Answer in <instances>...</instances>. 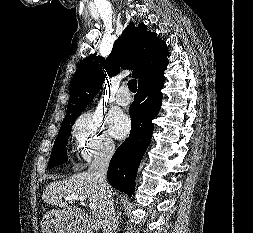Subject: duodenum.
Instances as JSON below:
<instances>
[{"instance_id":"duodenum-1","label":"duodenum","mask_w":253,"mask_h":233,"mask_svg":"<svg viewBox=\"0 0 253 233\" xmlns=\"http://www.w3.org/2000/svg\"><path fill=\"white\" fill-rule=\"evenodd\" d=\"M92 225H102L103 221L99 215H96L90 219Z\"/></svg>"}]
</instances>
